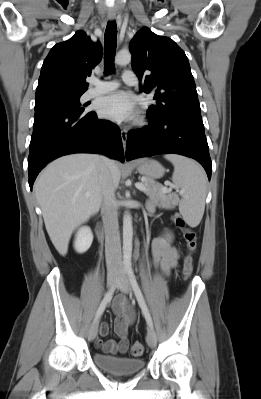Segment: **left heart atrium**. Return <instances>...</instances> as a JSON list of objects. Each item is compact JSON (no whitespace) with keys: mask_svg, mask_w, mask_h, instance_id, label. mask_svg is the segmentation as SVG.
<instances>
[{"mask_svg":"<svg viewBox=\"0 0 261 399\" xmlns=\"http://www.w3.org/2000/svg\"><path fill=\"white\" fill-rule=\"evenodd\" d=\"M97 110L101 116L117 122L130 120L136 114L130 95L121 91L100 98Z\"/></svg>","mask_w":261,"mask_h":399,"instance_id":"left-heart-atrium-1","label":"left heart atrium"}]
</instances>
